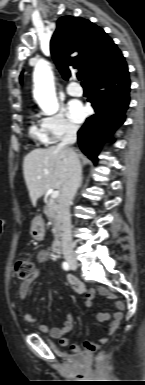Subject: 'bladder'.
I'll list each match as a JSON object with an SVG mask.
<instances>
[{
	"instance_id": "31cf9c89",
	"label": "bladder",
	"mask_w": 145,
	"mask_h": 385,
	"mask_svg": "<svg viewBox=\"0 0 145 385\" xmlns=\"http://www.w3.org/2000/svg\"><path fill=\"white\" fill-rule=\"evenodd\" d=\"M52 344H53V343H52ZM80 357H81L82 360L85 359V355H84V354H80Z\"/></svg>"
}]
</instances>
